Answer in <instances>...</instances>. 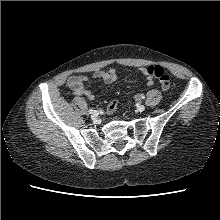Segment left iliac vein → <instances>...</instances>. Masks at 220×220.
<instances>
[{
	"instance_id": "obj_1",
	"label": "left iliac vein",
	"mask_w": 220,
	"mask_h": 220,
	"mask_svg": "<svg viewBox=\"0 0 220 220\" xmlns=\"http://www.w3.org/2000/svg\"><path fill=\"white\" fill-rule=\"evenodd\" d=\"M137 110H138L139 112H143V111L145 110V106L142 105V104H139V105L137 106Z\"/></svg>"
}]
</instances>
